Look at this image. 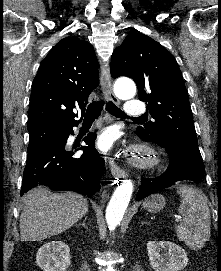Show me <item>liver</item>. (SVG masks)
I'll return each instance as SVG.
<instances>
[{
	"label": "liver",
	"instance_id": "6515ba94",
	"mask_svg": "<svg viewBox=\"0 0 221 271\" xmlns=\"http://www.w3.org/2000/svg\"><path fill=\"white\" fill-rule=\"evenodd\" d=\"M22 201L21 241H41L58 235L82 219L89 207L86 197L80 193H52L45 185L27 191Z\"/></svg>",
	"mask_w": 221,
	"mask_h": 271
}]
</instances>
